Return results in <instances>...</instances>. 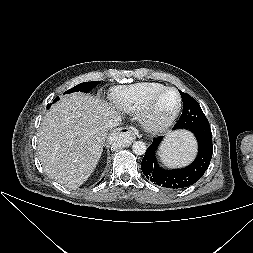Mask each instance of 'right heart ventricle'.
Wrapping results in <instances>:
<instances>
[{
	"label": "right heart ventricle",
	"mask_w": 253,
	"mask_h": 253,
	"mask_svg": "<svg viewBox=\"0 0 253 253\" xmlns=\"http://www.w3.org/2000/svg\"><path fill=\"white\" fill-rule=\"evenodd\" d=\"M166 86L156 82H142L129 86L116 87L113 91L115 105L132 115L142 112L147 100Z\"/></svg>",
	"instance_id": "1"
}]
</instances>
